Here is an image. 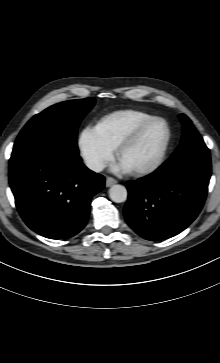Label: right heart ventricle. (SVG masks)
<instances>
[{
    "label": "right heart ventricle",
    "instance_id": "right-heart-ventricle-1",
    "mask_svg": "<svg viewBox=\"0 0 220 363\" xmlns=\"http://www.w3.org/2000/svg\"><path fill=\"white\" fill-rule=\"evenodd\" d=\"M153 117V115L139 110H119L99 119L95 129L113 149L132 129Z\"/></svg>",
    "mask_w": 220,
    "mask_h": 363
}]
</instances>
